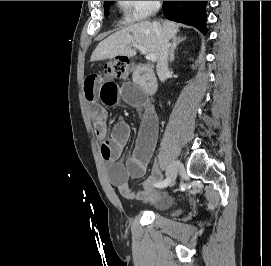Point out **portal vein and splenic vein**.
Here are the masks:
<instances>
[{"label": "portal vein and splenic vein", "mask_w": 271, "mask_h": 266, "mask_svg": "<svg viewBox=\"0 0 271 266\" xmlns=\"http://www.w3.org/2000/svg\"><path fill=\"white\" fill-rule=\"evenodd\" d=\"M132 47L140 50V52L142 54H145L147 56V59H149L151 62H155L156 61L157 57L154 54L149 53L148 50L144 46L138 45V44H133Z\"/></svg>", "instance_id": "1"}]
</instances>
